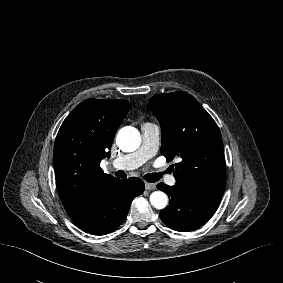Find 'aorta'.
<instances>
[{"mask_svg":"<svg viewBox=\"0 0 283 283\" xmlns=\"http://www.w3.org/2000/svg\"><path fill=\"white\" fill-rule=\"evenodd\" d=\"M116 142L122 151L133 152L137 150L141 144L140 133L132 126H125L119 130ZM150 203L156 209H164L168 204V196L162 191L152 192L150 195Z\"/></svg>","mask_w":283,"mask_h":283,"instance_id":"762f6f07","label":"aorta"}]
</instances>
